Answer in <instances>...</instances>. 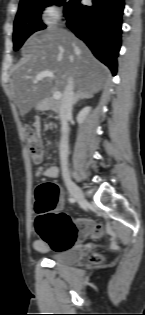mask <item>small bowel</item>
Wrapping results in <instances>:
<instances>
[{
  "instance_id": "small-bowel-1",
  "label": "small bowel",
  "mask_w": 145,
  "mask_h": 315,
  "mask_svg": "<svg viewBox=\"0 0 145 315\" xmlns=\"http://www.w3.org/2000/svg\"><path fill=\"white\" fill-rule=\"evenodd\" d=\"M40 125L41 124L39 120L34 121V126L37 130L40 129ZM36 176L38 178L40 177L55 178L58 176V167L54 163L46 164L45 166L38 169V171L36 172ZM62 206H63V201L61 205H58V208L56 210H61ZM33 247L37 252H40V253H46L49 251L48 244L43 242L40 238L36 239L33 242Z\"/></svg>"
}]
</instances>
